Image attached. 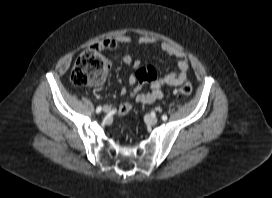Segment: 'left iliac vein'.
I'll return each mask as SVG.
<instances>
[{"mask_svg":"<svg viewBox=\"0 0 272 198\" xmlns=\"http://www.w3.org/2000/svg\"><path fill=\"white\" fill-rule=\"evenodd\" d=\"M146 120H147V122H148L149 124H152V125H154V124H156V123L158 122L157 117L151 116V115H148V116L146 117Z\"/></svg>","mask_w":272,"mask_h":198,"instance_id":"obj_1","label":"left iliac vein"}]
</instances>
